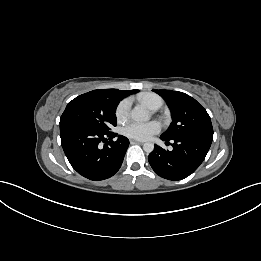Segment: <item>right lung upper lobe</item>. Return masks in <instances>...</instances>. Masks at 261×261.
<instances>
[{
  "label": "right lung upper lobe",
  "mask_w": 261,
  "mask_h": 261,
  "mask_svg": "<svg viewBox=\"0 0 261 261\" xmlns=\"http://www.w3.org/2000/svg\"><path fill=\"white\" fill-rule=\"evenodd\" d=\"M110 92H112L118 99L122 100L123 98L127 97L130 94H133L137 92L138 90H118V89H108Z\"/></svg>",
  "instance_id": "obj_1"
}]
</instances>
